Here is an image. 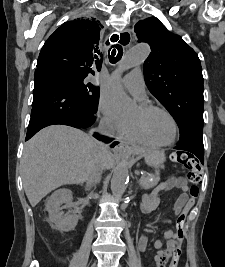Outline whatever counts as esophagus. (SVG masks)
I'll return each mask as SVG.
<instances>
[{
	"label": "esophagus",
	"instance_id": "34e87169",
	"mask_svg": "<svg viewBox=\"0 0 225 267\" xmlns=\"http://www.w3.org/2000/svg\"><path fill=\"white\" fill-rule=\"evenodd\" d=\"M122 34H128V35L130 36V40H131L130 32H129L128 30H123V31L121 32V34L118 33V32H114V33H112V34L110 35V37H109V42H110V43H113L114 35H118V36H119V39H118V40H120ZM130 40L128 39V37H125V38H124V44H122V45H123L124 47H127V46L130 44ZM114 151H115V153H117V154H123V153H126V152L128 151V145H127L125 142L121 141V142L115 147Z\"/></svg>",
	"mask_w": 225,
	"mask_h": 267
}]
</instances>
